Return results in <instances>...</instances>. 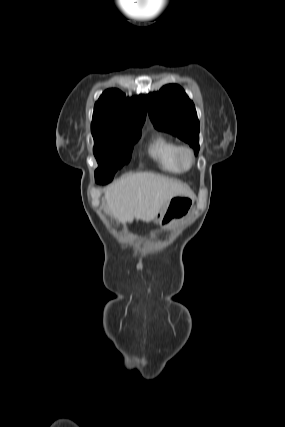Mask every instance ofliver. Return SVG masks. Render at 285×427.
<instances>
[{"label":"liver","mask_w":285,"mask_h":427,"mask_svg":"<svg viewBox=\"0 0 285 427\" xmlns=\"http://www.w3.org/2000/svg\"><path fill=\"white\" fill-rule=\"evenodd\" d=\"M176 196L194 197L192 190L176 180L150 172L131 174L105 191L106 209L119 222L154 220Z\"/></svg>","instance_id":"liver-1"}]
</instances>
